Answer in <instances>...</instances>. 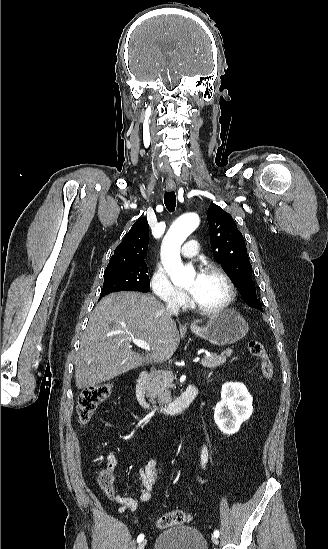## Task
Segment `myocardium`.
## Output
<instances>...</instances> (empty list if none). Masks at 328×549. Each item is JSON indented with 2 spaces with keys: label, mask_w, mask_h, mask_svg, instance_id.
<instances>
[{
  "label": "myocardium",
  "mask_w": 328,
  "mask_h": 549,
  "mask_svg": "<svg viewBox=\"0 0 328 549\" xmlns=\"http://www.w3.org/2000/svg\"><path fill=\"white\" fill-rule=\"evenodd\" d=\"M198 266L201 267V270L199 273H207V272H216L218 273L225 281L227 286V295L225 299L216 305L215 307L207 308L203 307L200 303L195 301L191 296L189 297V303L191 308H193L195 311L200 313L204 316H212V315H218L225 311H227L231 304L233 303L235 296H236V286L235 283L230 276V274L226 271L225 267L215 261L211 260H201L198 262H189L185 264V267H194Z\"/></svg>",
  "instance_id": "obj_1"
}]
</instances>
